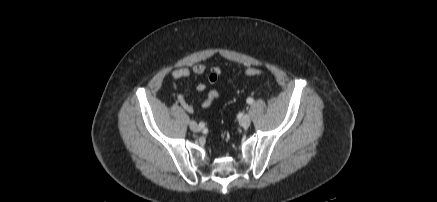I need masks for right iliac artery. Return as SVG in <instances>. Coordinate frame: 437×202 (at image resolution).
<instances>
[{
	"instance_id": "82829eb1",
	"label": "right iliac artery",
	"mask_w": 437,
	"mask_h": 202,
	"mask_svg": "<svg viewBox=\"0 0 437 202\" xmlns=\"http://www.w3.org/2000/svg\"><path fill=\"white\" fill-rule=\"evenodd\" d=\"M199 126H200L201 128H203V127H204V123H203V122L199 123Z\"/></svg>"
}]
</instances>
